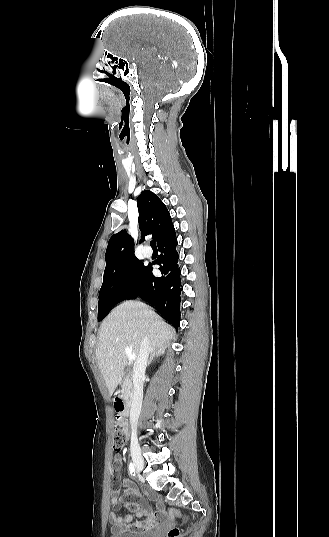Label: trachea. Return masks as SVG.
<instances>
[{
    "mask_svg": "<svg viewBox=\"0 0 329 537\" xmlns=\"http://www.w3.org/2000/svg\"><path fill=\"white\" fill-rule=\"evenodd\" d=\"M150 245H151V247H156V242H155V240H152V241L150 242Z\"/></svg>",
    "mask_w": 329,
    "mask_h": 537,
    "instance_id": "1",
    "label": "trachea"
}]
</instances>
